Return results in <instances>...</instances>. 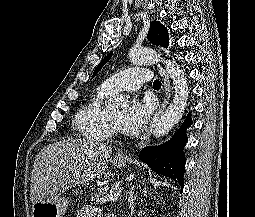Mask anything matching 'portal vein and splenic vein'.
Wrapping results in <instances>:
<instances>
[{
  "mask_svg": "<svg viewBox=\"0 0 255 217\" xmlns=\"http://www.w3.org/2000/svg\"><path fill=\"white\" fill-rule=\"evenodd\" d=\"M122 190H123V188H119L113 194H110V196L108 197V201H111V202L116 201L118 199V197L120 196Z\"/></svg>",
  "mask_w": 255,
  "mask_h": 217,
  "instance_id": "portal-vein-and-splenic-vein-1",
  "label": "portal vein and splenic vein"
}]
</instances>
